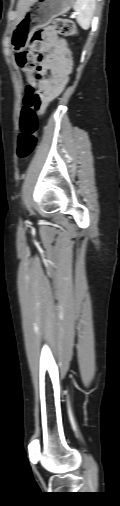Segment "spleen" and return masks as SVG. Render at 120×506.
Returning a JSON list of instances; mask_svg holds the SVG:
<instances>
[{
	"label": "spleen",
	"instance_id": "1",
	"mask_svg": "<svg viewBox=\"0 0 120 506\" xmlns=\"http://www.w3.org/2000/svg\"><path fill=\"white\" fill-rule=\"evenodd\" d=\"M95 8V0H76L74 4V10L77 15L76 20L83 29L90 27Z\"/></svg>",
	"mask_w": 120,
	"mask_h": 506
}]
</instances>
